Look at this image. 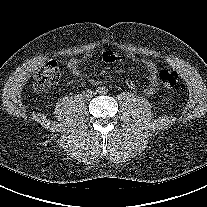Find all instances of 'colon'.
<instances>
[{
    "instance_id": "colon-1",
    "label": "colon",
    "mask_w": 207,
    "mask_h": 207,
    "mask_svg": "<svg viewBox=\"0 0 207 207\" xmlns=\"http://www.w3.org/2000/svg\"><path fill=\"white\" fill-rule=\"evenodd\" d=\"M62 66L56 61H49L41 71L35 76L34 88L44 91L54 85L56 80L61 76ZM158 77L164 87L174 88L178 82V74L174 70L162 69Z\"/></svg>"
}]
</instances>
